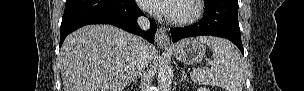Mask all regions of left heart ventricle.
<instances>
[{
	"instance_id": "1",
	"label": "left heart ventricle",
	"mask_w": 304,
	"mask_h": 91,
	"mask_svg": "<svg viewBox=\"0 0 304 91\" xmlns=\"http://www.w3.org/2000/svg\"><path fill=\"white\" fill-rule=\"evenodd\" d=\"M193 11H194V7L192 1L190 0L175 1L170 16L175 18L185 17L191 15Z\"/></svg>"
}]
</instances>
